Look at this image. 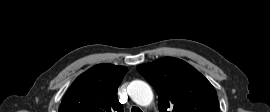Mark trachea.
Segmentation results:
<instances>
[{
	"mask_svg": "<svg viewBox=\"0 0 270 112\" xmlns=\"http://www.w3.org/2000/svg\"><path fill=\"white\" fill-rule=\"evenodd\" d=\"M131 112H142V110L138 107H132Z\"/></svg>",
	"mask_w": 270,
	"mask_h": 112,
	"instance_id": "trachea-1",
	"label": "trachea"
}]
</instances>
